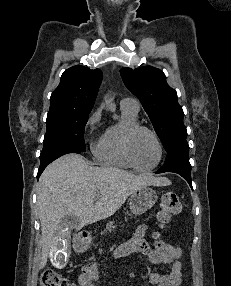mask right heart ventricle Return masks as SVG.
<instances>
[{
	"mask_svg": "<svg viewBox=\"0 0 231 286\" xmlns=\"http://www.w3.org/2000/svg\"><path fill=\"white\" fill-rule=\"evenodd\" d=\"M138 124L137 112L121 108V120L106 128L93 148L95 159L110 167L131 168L123 152V135L125 130Z\"/></svg>",
	"mask_w": 231,
	"mask_h": 286,
	"instance_id": "obj_1",
	"label": "right heart ventricle"
}]
</instances>
